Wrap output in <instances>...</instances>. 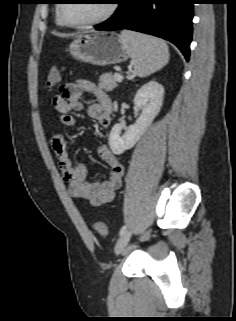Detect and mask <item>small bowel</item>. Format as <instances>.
Listing matches in <instances>:
<instances>
[{
    "instance_id": "1",
    "label": "small bowel",
    "mask_w": 236,
    "mask_h": 321,
    "mask_svg": "<svg viewBox=\"0 0 236 321\" xmlns=\"http://www.w3.org/2000/svg\"><path fill=\"white\" fill-rule=\"evenodd\" d=\"M84 91L97 97V101L87 107V114L97 120L103 129L108 130L112 124L109 97L103 89L84 79H77L65 84L61 92L53 98V106L61 123L67 127H75L78 124L71 112L85 109L81 102ZM51 146L58 159L63 177L68 183L71 196L82 198L93 206L103 205L114 198L122 183L124 166L107 146L101 145L97 148L99 158L110 169L108 179L100 183L86 180L87 167L83 162L72 163L63 135L54 134Z\"/></svg>"
}]
</instances>
